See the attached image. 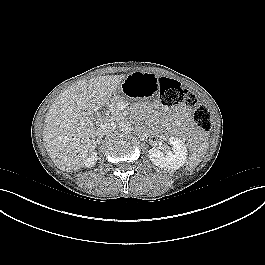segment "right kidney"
Here are the masks:
<instances>
[{"instance_id": "ca27d5eb", "label": "right kidney", "mask_w": 265, "mask_h": 265, "mask_svg": "<svg viewBox=\"0 0 265 265\" xmlns=\"http://www.w3.org/2000/svg\"><path fill=\"white\" fill-rule=\"evenodd\" d=\"M97 161V154L96 152H92L91 154H89V156L85 159L84 161V166L91 168L95 165Z\"/></svg>"}]
</instances>
